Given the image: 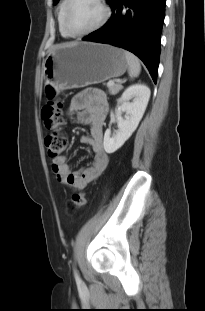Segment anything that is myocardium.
<instances>
[{
    "mask_svg": "<svg viewBox=\"0 0 205 311\" xmlns=\"http://www.w3.org/2000/svg\"><path fill=\"white\" fill-rule=\"evenodd\" d=\"M74 0H67L66 5L64 8V16H63V25L66 30V32L71 36V37H83L87 36L89 34H92L98 30H100L102 27L106 25V23L109 21L110 16H111V8L107 2V0H96V2L101 6L103 10V16L100 19V21L93 26L92 28L82 31V32H75L71 29L69 22H68V17H69V11L71 8L72 3Z\"/></svg>",
    "mask_w": 205,
    "mask_h": 311,
    "instance_id": "obj_1",
    "label": "myocardium"
}]
</instances>
